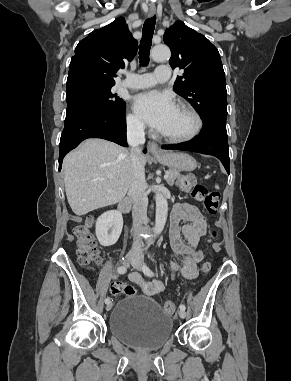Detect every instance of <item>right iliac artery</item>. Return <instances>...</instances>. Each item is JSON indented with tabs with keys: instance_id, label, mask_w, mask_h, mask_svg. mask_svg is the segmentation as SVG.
<instances>
[{
	"instance_id": "obj_1",
	"label": "right iliac artery",
	"mask_w": 291,
	"mask_h": 381,
	"mask_svg": "<svg viewBox=\"0 0 291 381\" xmlns=\"http://www.w3.org/2000/svg\"><path fill=\"white\" fill-rule=\"evenodd\" d=\"M126 271H127V268H126L125 266H120V267H118V269H117V272H118L119 274H125ZM109 302H110V298H106V299H105V303L107 304V303H109Z\"/></svg>"
}]
</instances>
